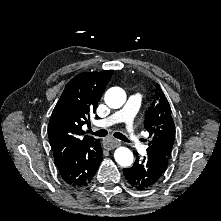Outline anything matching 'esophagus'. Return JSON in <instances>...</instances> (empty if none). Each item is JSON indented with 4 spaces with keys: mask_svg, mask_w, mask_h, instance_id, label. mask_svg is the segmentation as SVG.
Listing matches in <instances>:
<instances>
[{
    "mask_svg": "<svg viewBox=\"0 0 221 221\" xmlns=\"http://www.w3.org/2000/svg\"><path fill=\"white\" fill-rule=\"evenodd\" d=\"M120 141H117V140H111V139H106L104 142H103V146L105 149H108V150H112L114 149L115 147L117 146H120Z\"/></svg>",
    "mask_w": 221,
    "mask_h": 221,
    "instance_id": "obj_1",
    "label": "esophagus"
}]
</instances>
